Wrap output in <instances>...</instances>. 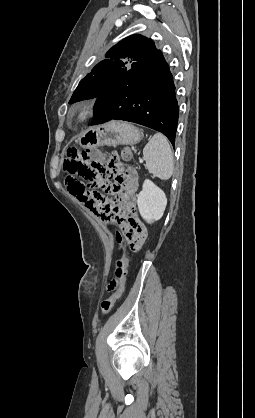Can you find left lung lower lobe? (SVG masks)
<instances>
[{
    "mask_svg": "<svg viewBox=\"0 0 255 418\" xmlns=\"http://www.w3.org/2000/svg\"><path fill=\"white\" fill-rule=\"evenodd\" d=\"M91 125L125 120L163 133L174 146L179 107L176 87L162 52L129 69L98 97Z\"/></svg>",
    "mask_w": 255,
    "mask_h": 418,
    "instance_id": "0a47b994",
    "label": "left lung lower lobe"
}]
</instances>
